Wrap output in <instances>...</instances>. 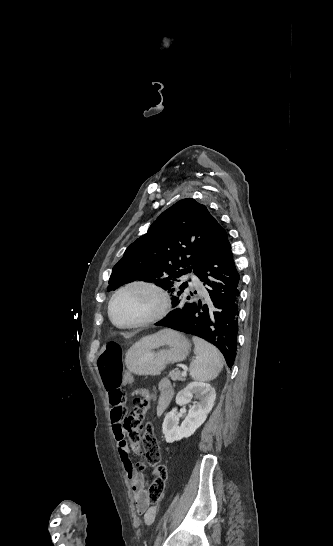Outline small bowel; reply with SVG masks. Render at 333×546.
Returning <instances> with one entry per match:
<instances>
[{"instance_id": "small-bowel-1", "label": "small bowel", "mask_w": 333, "mask_h": 546, "mask_svg": "<svg viewBox=\"0 0 333 546\" xmlns=\"http://www.w3.org/2000/svg\"><path fill=\"white\" fill-rule=\"evenodd\" d=\"M131 374L132 373L130 370H124L122 372L124 380L128 381L127 383L125 381L122 383L124 386L126 384L128 386L132 384L130 382L133 378ZM156 390L159 392V396L155 402L156 413L157 415H162L170 404L173 397V388L171 382L168 379H162L156 387ZM116 395H120V393H116ZM113 396L114 394L109 393V401L111 404L110 419L112 424L113 436L116 440L118 447L120 461L131 485L136 510L138 513L143 514L144 523L146 525H150L154 522L156 518L157 508L149 507V502L147 500L148 490L146 489L147 481L145 478V474L142 472H138L135 469V466L130 456V451L125 440V429L122 425L126 413L125 406L123 405L121 399L119 402H113ZM145 396L146 398H148L149 395L147 392L145 393ZM152 477L154 479L155 472L152 473Z\"/></svg>"}]
</instances>
